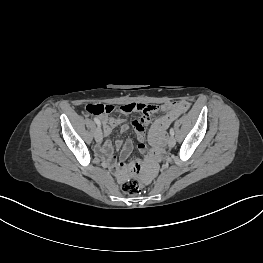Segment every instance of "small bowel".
Returning <instances> with one entry per match:
<instances>
[{"instance_id": "small-bowel-1", "label": "small bowel", "mask_w": 263, "mask_h": 263, "mask_svg": "<svg viewBox=\"0 0 263 263\" xmlns=\"http://www.w3.org/2000/svg\"><path fill=\"white\" fill-rule=\"evenodd\" d=\"M141 103V102H138ZM167 107L159 110L158 115L161 118H156L153 121V125L149 128V142L152 145L148 150V155L143 159L144 169L142 168V162L139 159H134L131 162V170L135 176H140L142 173L146 177H151L157 164L161 161L163 154V143H164V132L169 124L180 115V111L177 110V106L174 103H167ZM171 115V116H170ZM151 115H141L137 120L128 122L121 118H113L108 116L106 113L99 116V121L103 125L104 134L109 135L112 130L116 127H120L122 132L128 130L130 126L136 132L139 151H145V139H146V128L152 122ZM122 147L120 161L116 165V172L120 179H123L128 174V169L125 160L132 152L133 145L131 141H126L124 144L121 139H118L115 145L110 140H106L102 145L98 147V153L100 156L105 158L107 161L115 160L114 151Z\"/></svg>"}]
</instances>
